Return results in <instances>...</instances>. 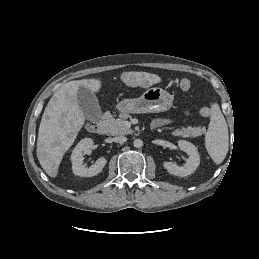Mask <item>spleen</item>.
Masks as SVG:
<instances>
[{
    "mask_svg": "<svg viewBox=\"0 0 259 259\" xmlns=\"http://www.w3.org/2000/svg\"><path fill=\"white\" fill-rule=\"evenodd\" d=\"M228 127L217 103L211 106V117L205 135V147L216 164H220L228 152Z\"/></svg>",
    "mask_w": 259,
    "mask_h": 259,
    "instance_id": "3e777b00",
    "label": "spleen"
}]
</instances>
